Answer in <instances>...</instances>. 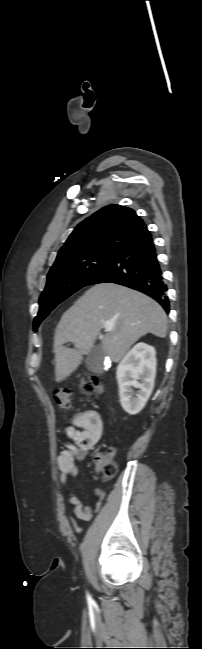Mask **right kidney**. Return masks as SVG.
<instances>
[{
    "label": "right kidney",
    "instance_id": "1",
    "mask_svg": "<svg viewBox=\"0 0 202 649\" xmlns=\"http://www.w3.org/2000/svg\"><path fill=\"white\" fill-rule=\"evenodd\" d=\"M155 375V348L145 343L136 344L125 355L116 370L120 403L127 413L134 415L143 409L153 391ZM131 387L140 389L134 397L131 394Z\"/></svg>",
    "mask_w": 202,
    "mask_h": 649
}]
</instances>
